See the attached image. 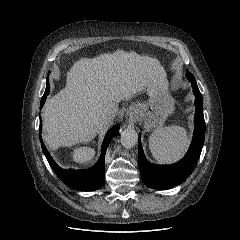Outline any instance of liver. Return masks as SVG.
Returning a JSON list of instances; mask_svg holds the SVG:
<instances>
[{
  "label": "liver",
  "instance_id": "liver-1",
  "mask_svg": "<svg viewBox=\"0 0 240 240\" xmlns=\"http://www.w3.org/2000/svg\"><path fill=\"white\" fill-rule=\"evenodd\" d=\"M162 81L166 72L160 62L136 52L117 50L78 60L67 73L66 87L43 108L45 142L55 150L90 141L108 128L118 102ZM103 111L112 119L100 127L97 120Z\"/></svg>",
  "mask_w": 240,
  "mask_h": 240
}]
</instances>
